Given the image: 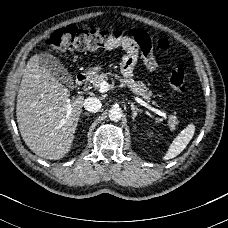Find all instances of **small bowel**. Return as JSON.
I'll list each match as a JSON object with an SVG mask.
<instances>
[{"mask_svg": "<svg viewBox=\"0 0 228 228\" xmlns=\"http://www.w3.org/2000/svg\"><path fill=\"white\" fill-rule=\"evenodd\" d=\"M116 48H122L126 51L121 64L122 73L126 77L132 76L139 53H142L144 64L150 71H157L159 69L157 61L150 52L152 50L151 39L149 38L148 33L143 29H134L130 36H124L118 42L106 47L107 50Z\"/></svg>", "mask_w": 228, "mask_h": 228, "instance_id": "obj_1", "label": "small bowel"}]
</instances>
